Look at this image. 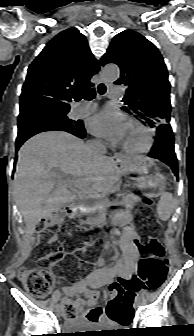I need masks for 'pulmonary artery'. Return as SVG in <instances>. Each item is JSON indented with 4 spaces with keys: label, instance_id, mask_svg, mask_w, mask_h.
<instances>
[{
    "label": "pulmonary artery",
    "instance_id": "pulmonary-artery-1",
    "mask_svg": "<svg viewBox=\"0 0 194 336\" xmlns=\"http://www.w3.org/2000/svg\"><path fill=\"white\" fill-rule=\"evenodd\" d=\"M122 95H123V91L121 87H113L110 89V92H109L110 98H120L122 97ZM96 107L97 106L95 103H87V104H84L82 106L75 108L74 112L78 116L87 115L95 111Z\"/></svg>",
    "mask_w": 194,
    "mask_h": 336
}]
</instances>
